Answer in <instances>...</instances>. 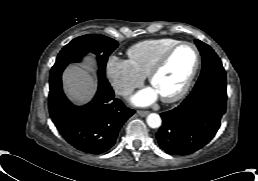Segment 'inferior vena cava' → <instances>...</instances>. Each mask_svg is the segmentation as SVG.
<instances>
[{"label":"inferior vena cava","mask_w":258,"mask_h":181,"mask_svg":"<svg viewBox=\"0 0 258 181\" xmlns=\"http://www.w3.org/2000/svg\"><path fill=\"white\" fill-rule=\"evenodd\" d=\"M133 92V88L126 85H119L116 87V93L121 96H128Z\"/></svg>","instance_id":"inferior-vena-cava-1"}]
</instances>
